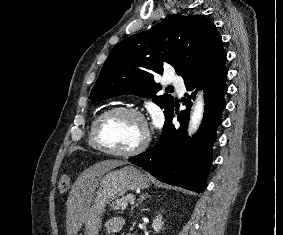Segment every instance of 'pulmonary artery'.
<instances>
[{
    "label": "pulmonary artery",
    "mask_w": 283,
    "mask_h": 235,
    "mask_svg": "<svg viewBox=\"0 0 283 235\" xmlns=\"http://www.w3.org/2000/svg\"><path fill=\"white\" fill-rule=\"evenodd\" d=\"M169 84L173 85L175 88L183 91L184 90V83L181 79L173 77L170 78L168 81Z\"/></svg>",
    "instance_id": "pulmonary-artery-1"
}]
</instances>
